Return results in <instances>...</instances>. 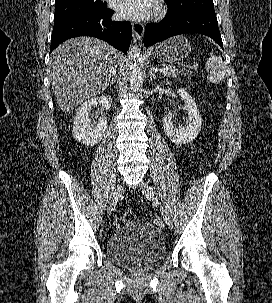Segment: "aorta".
I'll return each instance as SVG.
<instances>
[{"label":"aorta","mask_w":272,"mask_h":303,"mask_svg":"<svg viewBox=\"0 0 272 303\" xmlns=\"http://www.w3.org/2000/svg\"><path fill=\"white\" fill-rule=\"evenodd\" d=\"M129 83L132 91L138 92L143 85V64L141 50L137 45L132 46L127 54Z\"/></svg>","instance_id":"obj_1"}]
</instances>
